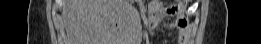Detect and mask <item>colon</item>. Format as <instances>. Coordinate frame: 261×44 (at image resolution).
I'll return each instance as SVG.
<instances>
[{
  "label": "colon",
  "mask_w": 261,
  "mask_h": 44,
  "mask_svg": "<svg viewBox=\"0 0 261 44\" xmlns=\"http://www.w3.org/2000/svg\"><path fill=\"white\" fill-rule=\"evenodd\" d=\"M173 5L174 6H187L188 5V1L187 0L174 1Z\"/></svg>",
  "instance_id": "obj_1"
}]
</instances>
